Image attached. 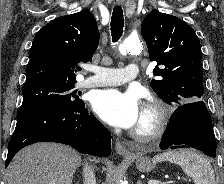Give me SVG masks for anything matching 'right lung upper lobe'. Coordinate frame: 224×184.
<instances>
[{
  "label": "right lung upper lobe",
  "mask_w": 224,
  "mask_h": 184,
  "mask_svg": "<svg viewBox=\"0 0 224 184\" xmlns=\"http://www.w3.org/2000/svg\"><path fill=\"white\" fill-rule=\"evenodd\" d=\"M98 43L99 31L90 11L55 18L33 39L25 84L76 83L77 64L91 61Z\"/></svg>",
  "instance_id": "1"
}]
</instances>
